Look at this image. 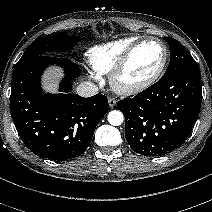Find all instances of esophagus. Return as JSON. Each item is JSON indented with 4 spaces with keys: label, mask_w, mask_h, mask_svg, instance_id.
<instances>
[{
    "label": "esophagus",
    "mask_w": 212,
    "mask_h": 212,
    "mask_svg": "<svg viewBox=\"0 0 212 212\" xmlns=\"http://www.w3.org/2000/svg\"><path fill=\"white\" fill-rule=\"evenodd\" d=\"M109 106L113 108L116 105V100L112 97L108 99Z\"/></svg>",
    "instance_id": "1"
}]
</instances>
